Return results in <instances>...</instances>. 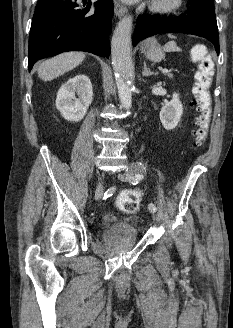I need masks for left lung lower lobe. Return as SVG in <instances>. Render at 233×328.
<instances>
[{"label":"left lung lower lobe","instance_id":"left-lung-lower-lobe-1","mask_svg":"<svg viewBox=\"0 0 233 328\" xmlns=\"http://www.w3.org/2000/svg\"><path fill=\"white\" fill-rule=\"evenodd\" d=\"M179 17L138 16L133 35V45L140 40L159 33H185L207 38L219 54L218 27L215 10L194 0Z\"/></svg>","mask_w":233,"mask_h":328}]
</instances>
